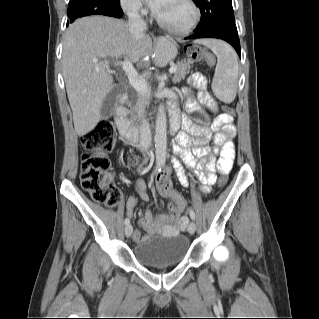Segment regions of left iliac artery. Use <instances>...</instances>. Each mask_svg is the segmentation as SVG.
<instances>
[{
    "label": "left iliac artery",
    "mask_w": 319,
    "mask_h": 319,
    "mask_svg": "<svg viewBox=\"0 0 319 319\" xmlns=\"http://www.w3.org/2000/svg\"><path fill=\"white\" fill-rule=\"evenodd\" d=\"M195 217H196L195 212H194L193 210H191V211H190V218H191L192 220H195Z\"/></svg>",
    "instance_id": "obj_1"
}]
</instances>
